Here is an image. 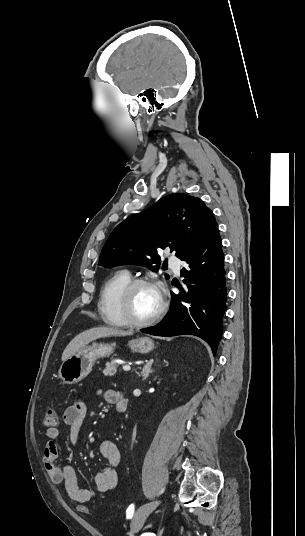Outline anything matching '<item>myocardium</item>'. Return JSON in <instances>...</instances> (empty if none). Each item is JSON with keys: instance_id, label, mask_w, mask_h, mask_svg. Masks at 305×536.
I'll use <instances>...</instances> for the list:
<instances>
[{"instance_id": "myocardium-1", "label": "myocardium", "mask_w": 305, "mask_h": 536, "mask_svg": "<svg viewBox=\"0 0 305 536\" xmlns=\"http://www.w3.org/2000/svg\"><path fill=\"white\" fill-rule=\"evenodd\" d=\"M140 285H150L157 289L160 297V305L158 310L152 315L145 318H136L131 312L130 300L132 292L135 288ZM119 306L122 317L125 320L127 326L130 327H141L148 324H151L158 319H160L167 308V300L165 299L159 285L151 278L148 277H139L131 279L123 288L119 298Z\"/></svg>"}]
</instances>
